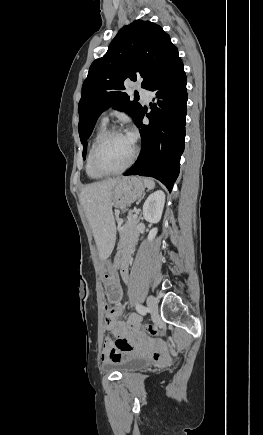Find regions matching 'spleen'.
I'll return each mask as SVG.
<instances>
[{
    "label": "spleen",
    "instance_id": "3e777b00",
    "mask_svg": "<svg viewBox=\"0 0 263 435\" xmlns=\"http://www.w3.org/2000/svg\"><path fill=\"white\" fill-rule=\"evenodd\" d=\"M143 182H144L145 186L149 189H153L155 187L154 180H152L150 178H144Z\"/></svg>",
    "mask_w": 263,
    "mask_h": 435
}]
</instances>
